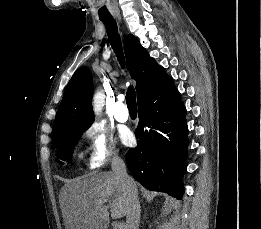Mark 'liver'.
Masks as SVG:
<instances>
[{
	"instance_id": "6515ba94",
	"label": "liver",
	"mask_w": 261,
	"mask_h": 229,
	"mask_svg": "<svg viewBox=\"0 0 261 229\" xmlns=\"http://www.w3.org/2000/svg\"><path fill=\"white\" fill-rule=\"evenodd\" d=\"M108 199L112 219L126 217L129 201L115 173H89L72 179L64 199L67 229H107L109 211L104 203Z\"/></svg>"
}]
</instances>
